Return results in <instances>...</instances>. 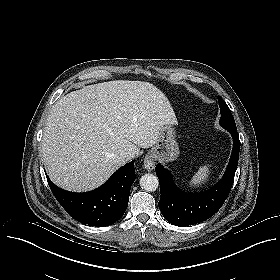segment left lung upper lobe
Returning a JSON list of instances; mask_svg holds the SVG:
<instances>
[{
  "instance_id": "1",
  "label": "left lung upper lobe",
  "mask_w": 280,
  "mask_h": 280,
  "mask_svg": "<svg viewBox=\"0 0 280 280\" xmlns=\"http://www.w3.org/2000/svg\"><path fill=\"white\" fill-rule=\"evenodd\" d=\"M218 102L221 113L220 125L227 130H237L234 118L226 102L220 96H218Z\"/></svg>"
}]
</instances>
